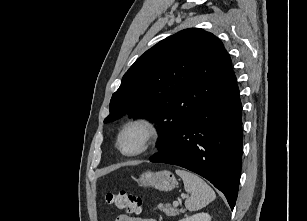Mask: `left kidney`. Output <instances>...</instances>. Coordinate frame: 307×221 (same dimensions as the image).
Instances as JSON below:
<instances>
[{
	"label": "left kidney",
	"mask_w": 307,
	"mask_h": 221,
	"mask_svg": "<svg viewBox=\"0 0 307 221\" xmlns=\"http://www.w3.org/2000/svg\"><path fill=\"white\" fill-rule=\"evenodd\" d=\"M179 221H211V217L208 213H197L192 216H188L184 219H181Z\"/></svg>",
	"instance_id": "1"
}]
</instances>
